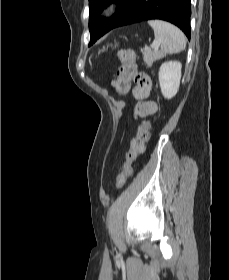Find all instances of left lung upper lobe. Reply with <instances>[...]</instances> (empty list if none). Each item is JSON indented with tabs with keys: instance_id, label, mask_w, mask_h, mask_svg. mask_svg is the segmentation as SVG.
Returning <instances> with one entry per match:
<instances>
[{
	"instance_id": "5c2ea615",
	"label": "left lung upper lobe",
	"mask_w": 229,
	"mask_h": 280,
	"mask_svg": "<svg viewBox=\"0 0 229 280\" xmlns=\"http://www.w3.org/2000/svg\"><path fill=\"white\" fill-rule=\"evenodd\" d=\"M119 4L116 14L110 19L100 18L102 9L111 2ZM134 0H89V31L90 43L93 44L98 38L115 27L119 20L126 14Z\"/></svg>"
}]
</instances>
